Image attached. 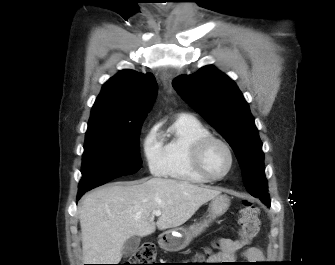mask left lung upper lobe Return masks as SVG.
I'll return each mask as SVG.
<instances>
[{
  "label": "left lung upper lobe",
  "mask_w": 335,
  "mask_h": 265,
  "mask_svg": "<svg viewBox=\"0 0 335 265\" xmlns=\"http://www.w3.org/2000/svg\"><path fill=\"white\" fill-rule=\"evenodd\" d=\"M172 85L232 147L247 191L270 206L262 142L234 81L208 65L192 75L175 78Z\"/></svg>",
  "instance_id": "obj_1"
}]
</instances>
